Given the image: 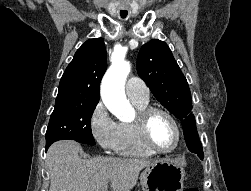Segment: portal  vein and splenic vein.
Instances as JSON below:
<instances>
[{
    "label": "portal vein and splenic vein",
    "instance_id": "portal-vein-and-splenic-vein-1",
    "mask_svg": "<svg viewBox=\"0 0 251 191\" xmlns=\"http://www.w3.org/2000/svg\"><path fill=\"white\" fill-rule=\"evenodd\" d=\"M105 187L104 185H97L96 191H104Z\"/></svg>",
    "mask_w": 251,
    "mask_h": 191
}]
</instances>
